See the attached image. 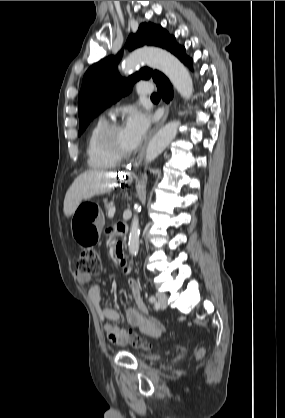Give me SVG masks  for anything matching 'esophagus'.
<instances>
[{"label": "esophagus", "mask_w": 285, "mask_h": 418, "mask_svg": "<svg viewBox=\"0 0 285 418\" xmlns=\"http://www.w3.org/2000/svg\"><path fill=\"white\" fill-rule=\"evenodd\" d=\"M168 111H169V106L167 104H165L164 107V114L162 119L160 120V122L150 131L148 137L145 140V143L140 151V153L138 154L137 158L135 159L134 163H133V167H138L140 165V163L143 160L144 154H145V150L147 147V144L149 142V140L151 139V137L156 133V131L166 122L167 117H168Z\"/></svg>", "instance_id": "esophagus-1"}]
</instances>
